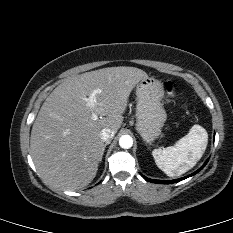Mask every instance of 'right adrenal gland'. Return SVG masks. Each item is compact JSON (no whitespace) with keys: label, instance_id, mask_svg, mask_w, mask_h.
<instances>
[{"label":"right adrenal gland","instance_id":"right-adrenal-gland-1","mask_svg":"<svg viewBox=\"0 0 233 233\" xmlns=\"http://www.w3.org/2000/svg\"><path fill=\"white\" fill-rule=\"evenodd\" d=\"M108 144H110V142H108V143L105 144L104 150H105V147H106ZM103 154H104V151H103L102 154H101L100 161L102 160Z\"/></svg>","mask_w":233,"mask_h":233}]
</instances>
